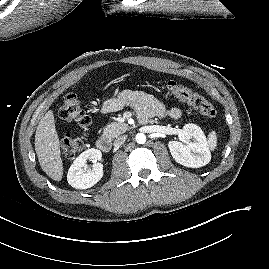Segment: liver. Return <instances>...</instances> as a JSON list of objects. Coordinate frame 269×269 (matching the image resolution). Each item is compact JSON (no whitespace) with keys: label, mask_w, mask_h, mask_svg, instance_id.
I'll return each instance as SVG.
<instances>
[{"label":"liver","mask_w":269,"mask_h":269,"mask_svg":"<svg viewBox=\"0 0 269 269\" xmlns=\"http://www.w3.org/2000/svg\"><path fill=\"white\" fill-rule=\"evenodd\" d=\"M35 151L42 170L51 179L60 181L63 176V163L52 110L45 113L37 126Z\"/></svg>","instance_id":"obj_1"}]
</instances>
